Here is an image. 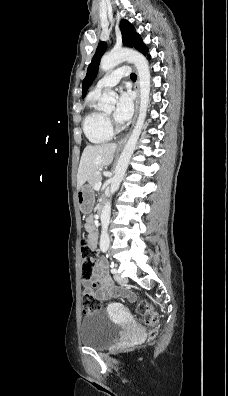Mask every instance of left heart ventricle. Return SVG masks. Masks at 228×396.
Here are the masks:
<instances>
[{
    "instance_id": "1",
    "label": "left heart ventricle",
    "mask_w": 228,
    "mask_h": 396,
    "mask_svg": "<svg viewBox=\"0 0 228 396\" xmlns=\"http://www.w3.org/2000/svg\"><path fill=\"white\" fill-rule=\"evenodd\" d=\"M113 113H114V109L108 111L106 114L111 117L113 115Z\"/></svg>"
}]
</instances>
